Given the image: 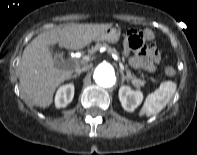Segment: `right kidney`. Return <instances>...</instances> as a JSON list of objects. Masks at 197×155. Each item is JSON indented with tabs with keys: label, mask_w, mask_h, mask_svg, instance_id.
Instances as JSON below:
<instances>
[{
	"label": "right kidney",
	"mask_w": 197,
	"mask_h": 155,
	"mask_svg": "<svg viewBox=\"0 0 197 155\" xmlns=\"http://www.w3.org/2000/svg\"><path fill=\"white\" fill-rule=\"evenodd\" d=\"M74 97V85L66 84L61 87L56 92L55 96V106L56 108L66 107Z\"/></svg>",
	"instance_id": "right-kidney-1"
}]
</instances>
